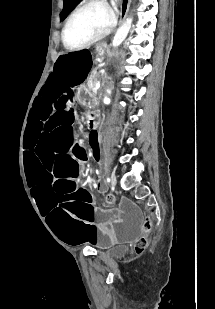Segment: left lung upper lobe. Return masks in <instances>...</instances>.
<instances>
[{
    "instance_id": "5c2ea615",
    "label": "left lung upper lobe",
    "mask_w": 215,
    "mask_h": 309,
    "mask_svg": "<svg viewBox=\"0 0 215 309\" xmlns=\"http://www.w3.org/2000/svg\"><path fill=\"white\" fill-rule=\"evenodd\" d=\"M78 1L79 0H64V9L61 13V17L65 18Z\"/></svg>"
}]
</instances>
